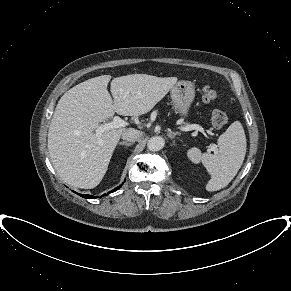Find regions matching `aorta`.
<instances>
[{
    "label": "aorta",
    "instance_id": "1",
    "mask_svg": "<svg viewBox=\"0 0 291 291\" xmlns=\"http://www.w3.org/2000/svg\"><path fill=\"white\" fill-rule=\"evenodd\" d=\"M165 141L160 136L151 137L148 140L147 147L150 151H159L164 147Z\"/></svg>",
    "mask_w": 291,
    "mask_h": 291
}]
</instances>
